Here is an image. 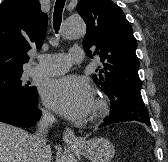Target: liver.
<instances>
[{
  "mask_svg": "<svg viewBox=\"0 0 168 162\" xmlns=\"http://www.w3.org/2000/svg\"><path fill=\"white\" fill-rule=\"evenodd\" d=\"M29 139L23 129L0 122V162H27ZM51 157L50 151L45 162Z\"/></svg>",
  "mask_w": 168,
  "mask_h": 162,
  "instance_id": "obj_1",
  "label": "liver"
}]
</instances>
